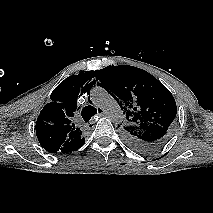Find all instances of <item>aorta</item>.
Returning <instances> with one entry per match:
<instances>
[{
    "instance_id": "1",
    "label": "aorta",
    "mask_w": 213,
    "mask_h": 213,
    "mask_svg": "<svg viewBox=\"0 0 213 213\" xmlns=\"http://www.w3.org/2000/svg\"><path fill=\"white\" fill-rule=\"evenodd\" d=\"M91 101L104 111L106 116L114 123L122 122L124 116L117 101L102 87L91 90Z\"/></svg>"
}]
</instances>
